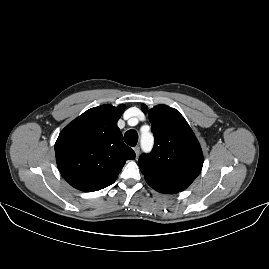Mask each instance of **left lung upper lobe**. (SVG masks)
Wrapping results in <instances>:
<instances>
[{
    "label": "left lung upper lobe",
    "mask_w": 269,
    "mask_h": 269,
    "mask_svg": "<svg viewBox=\"0 0 269 269\" xmlns=\"http://www.w3.org/2000/svg\"><path fill=\"white\" fill-rule=\"evenodd\" d=\"M147 112V106L142 105ZM155 137L153 150L138 160L145 180L188 187L203 166L200 144L186 120L175 109L158 105L148 111Z\"/></svg>",
    "instance_id": "obj_1"
}]
</instances>
